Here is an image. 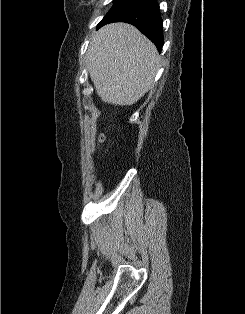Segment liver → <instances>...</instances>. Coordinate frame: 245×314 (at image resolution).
I'll return each mask as SVG.
<instances>
[{"mask_svg":"<svg viewBox=\"0 0 245 314\" xmlns=\"http://www.w3.org/2000/svg\"><path fill=\"white\" fill-rule=\"evenodd\" d=\"M86 58L97 95L120 106L136 103L153 87L160 60L155 45L127 23L95 32Z\"/></svg>","mask_w":245,"mask_h":314,"instance_id":"liver-1","label":"liver"}]
</instances>
